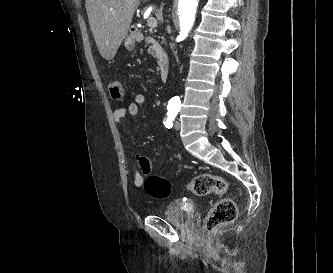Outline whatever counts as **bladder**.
Instances as JSON below:
<instances>
[{"instance_id":"obj_1","label":"bladder","mask_w":333,"mask_h":273,"mask_svg":"<svg viewBox=\"0 0 333 273\" xmlns=\"http://www.w3.org/2000/svg\"><path fill=\"white\" fill-rule=\"evenodd\" d=\"M163 218L177 227L189 226L195 216V207L191 203L174 201L164 207Z\"/></svg>"}]
</instances>
